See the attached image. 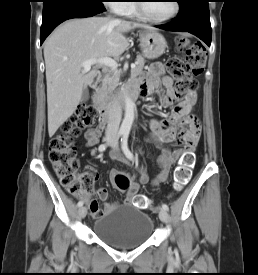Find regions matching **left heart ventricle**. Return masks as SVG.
<instances>
[{
	"label": "left heart ventricle",
	"mask_w": 258,
	"mask_h": 275,
	"mask_svg": "<svg viewBox=\"0 0 258 275\" xmlns=\"http://www.w3.org/2000/svg\"><path fill=\"white\" fill-rule=\"evenodd\" d=\"M144 3L147 13L154 18H164L171 15L174 11V3L170 0L146 1Z\"/></svg>",
	"instance_id": "left-heart-ventricle-1"
}]
</instances>
